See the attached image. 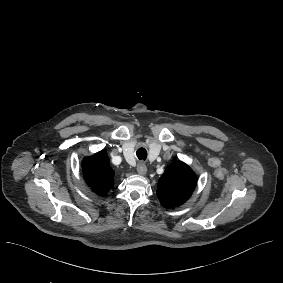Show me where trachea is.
Returning a JSON list of instances; mask_svg holds the SVG:
<instances>
[{
    "label": "trachea",
    "mask_w": 283,
    "mask_h": 283,
    "mask_svg": "<svg viewBox=\"0 0 283 283\" xmlns=\"http://www.w3.org/2000/svg\"><path fill=\"white\" fill-rule=\"evenodd\" d=\"M136 155H137L138 159L146 160L148 153H147L145 148L141 147L137 150Z\"/></svg>",
    "instance_id": "obj_1"
}]
</instances>
